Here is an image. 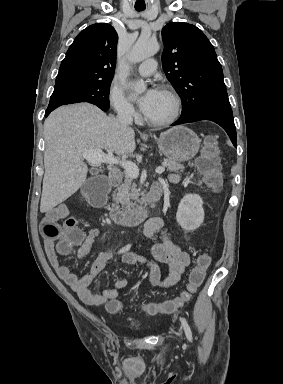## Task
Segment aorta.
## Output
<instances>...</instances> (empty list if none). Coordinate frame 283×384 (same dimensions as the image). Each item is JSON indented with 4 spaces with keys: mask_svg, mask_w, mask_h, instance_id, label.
Segmentation results:
<instances>
[{
    "mask_svg": "<svg viewBox=\"0 0 283 384\" xmlns=\"http://www.w3.org/2000/svg\"><path fill=\"white\" fill-rule=\"evenodd\" d=\"M159 49L157 41L140 38L128 53L127 58L131 63H138L155 55ZM131 87L136 93H142L146 89L143 81L134 82Z\"/></svg>",
    "mask_w": 283,
    "mask_h": 384,
    "instance_id": "1",
    "label": "aorta"
}]
</instances>
